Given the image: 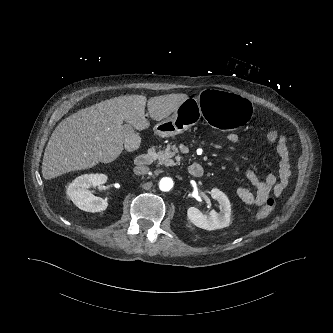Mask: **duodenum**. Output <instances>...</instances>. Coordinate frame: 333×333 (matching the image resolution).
I'll return each instance as SVG.
<instances>
[{
	"label": "duodenum",
	"instance_id": "obj_1",
	"mask_svg": "<svg viewBox=\"0 0 333 333\" xmlns=\"http://www.w3.org/2000/svg\"><path fill=\"white\" fill-rule=\"evenodd\" d=\"M153 159H154L153 152H150V153L144 154V155H139L135 161L136 169L139 171L145 170L147 168V166L153 162ZM188 171H189L190 175L195 178H200L204 174L203 166L198 162L192 163L189 166Z\"/></svg>",
	"mask_w": 333,
	"mask_h": 333
}]
</instances>
